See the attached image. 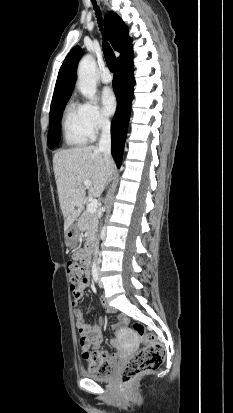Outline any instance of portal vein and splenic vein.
<instances>
[{
  "label": "portal vein and splenic vein",
  "instance_id": "1",
  "mask_svg": "<svg viewBox=\"0 0 233 413\" xmlns=\"http://www.w3.org/2000/svg\"><path fill=\"white\" fill-rule=\"evenodd\" d=\"M83 185H84L86 188H89V187L91 186V181H90V180H85V181L83 182ZM97 206H98V201H97V199H92V200L90 201V203L88 204V206H87V211H88V213H90V214L95 213V212H96V209H97Z\"/></svg>",
  "mask_w": 233,
  "mask_h": 413
}]
</instances>
